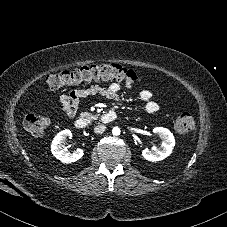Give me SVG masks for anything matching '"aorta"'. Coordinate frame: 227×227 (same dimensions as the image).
I'll use <instances>...</instances> for the list:
<instances>
[{"label":"aorta","instance_id":"aorta-1","mask_svg":"<svg viewBox=\"0 0 227 227\" xmlns=\"http://www.w3.org/2000/svg\"><path fill=\"white\" fill-rule=\"evenodd\" d=\"M113 135L118 136L120 135V129L118 127L113 128L112 130Z\"/></svg>","mask_w":227,"mask_h":227}]
</instances>
